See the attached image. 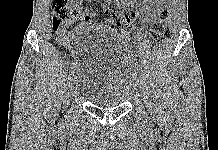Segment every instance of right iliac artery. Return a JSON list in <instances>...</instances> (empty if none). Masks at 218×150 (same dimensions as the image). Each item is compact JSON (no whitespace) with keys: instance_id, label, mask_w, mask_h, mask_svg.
<instances>
[{"instance_id":"82829eb1","label":"right iliac artery","mask_w":218,"mask_h":150,"mask_svg":"<svg viewBox=\"0 0 218 150\" xmlns=\"http://www.w3.org/2000/svg\"><path fill=\"white\" fill-rule=\"evenodd\" d=\"M76 67V62H72L71 65H70V69L73 70L74 68Z\"/></svg>"}]
</instances>
